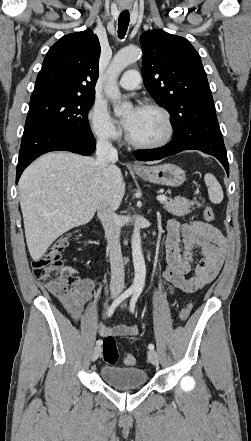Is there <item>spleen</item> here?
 <instances>
[{"label":"spleen","mask_w":251,"mask_h":441,"mask_svg":"<svg viewBox=\"0 0 251 441\" xmlns=\"http://www.w3.org/2000/svg\"><path fill=\"white\" fill-rule=\"evenodd\" d=\"M204 181L206 186L208 187V195L209 199L214 204H220L223 200L224 194L220 183L217 181L216 177L207 173L204 176Z\"/></svg>","instance_id":"3e777b00"}]
</instances>
